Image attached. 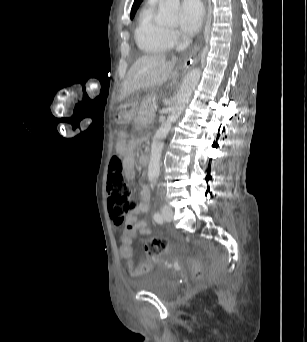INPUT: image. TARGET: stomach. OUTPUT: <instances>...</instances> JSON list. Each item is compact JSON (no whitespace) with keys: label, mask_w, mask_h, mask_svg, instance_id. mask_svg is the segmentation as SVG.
Returning a JSON list of instances; mask_svg holds the SVG:
<instances>
[{"label":"stomach","mask_w":307,"mask_h":342,"mask_svg":"<svg viewBox=\"0 0 307 342\" xmlns=\"http://www.w3.org/2000/svg\"><path fill=\"white\" fill-rule=\"evenodd\" d=\"M137 113V102L134 100H128L124 102L116 112V121L118 124H128Z\"/></svg>","instance_id":"0dacf381"}]
</instances>
